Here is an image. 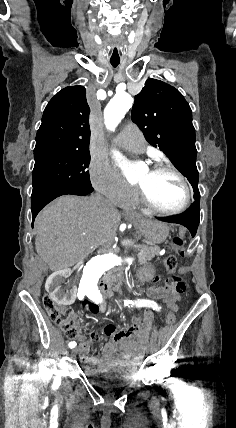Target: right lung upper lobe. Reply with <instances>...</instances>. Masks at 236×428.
Here are the masks:
<instances>
[{"mask_svg":"<svg viewBox=\"0 0 236 428\" xmlns=\"http://www.w3.org/2000/svg\"><path fill=\"white\" fill-rule=\"evenodd\" d=\"M89 113L84 87L59 91L44 110L34 151L89 149Z\"/></svg>","mask_w":236,"mask_h":428,"instance_id":"obj_1","label":"right lung upper lobe"}]
</instances>
